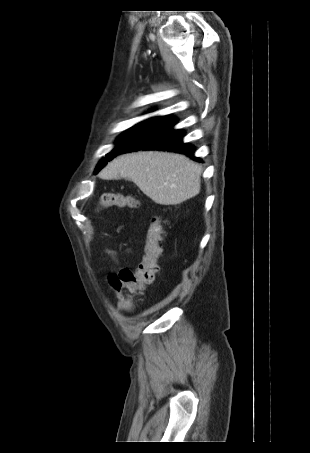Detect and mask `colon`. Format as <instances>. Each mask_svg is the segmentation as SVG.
Masks as SVG:
<instances>
[{"label":"colon","instance_id":"1","mask_svg":"<svg viewBox=\"0 0 310 453\" xmlns=\"http://www.w3.org/2000/svg\"><path fill=\"white\" fill-rule=\"evenodd\" d=\"M139 201L130 195L120 193H105L99 201V208H136ZM163 241V223L160 218L151 220L147 231L144 255L139 266L134 269H122L117 275H111L109 281L117 293L120 309L129 311L134 307V297L154 281L158 271V260L161 256Z\"/></svg>","mask_w":310,"mask_h":453}]
</instances>
